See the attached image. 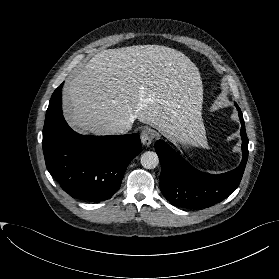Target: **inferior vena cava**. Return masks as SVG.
<instances>
[{
	"label": "inferior vena cava",
	"mask_w": 279,
	"mask_h": 279,
	"mask_svg": "<svg viewBox=\"0 0 279 279\" xmlns=\"http://www.w3.org/2000/svg\"><path fill=\"white\" fill-rule=\"evenodd\" d=\"M131 127H132L131 125H126L119 130V133L126 134L127 132H129L131 130Z\"/></svg>",
	"instance_id": "obj_1"
}]
</instances>
